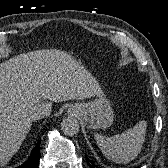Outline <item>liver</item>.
Returning a JSON list of instances; mask_svg holds the SVG:
<instances>
[{
	"label": "liver",
	"mask_w": 168,
	"mask_h": 168,
	"mask_svg": "<svg viewBox=\"0 0 168 168\" xmlns=\"http://www.w3.org/2000/svg\"><path fill=\"white\" fill-rule=\"evenodd\" d=\"M101 95L96 79L67 52L20 54L0 64V165L19 150L32 120L29 111L53 102Z\"/></svg>",
	"instance_id": "1"
}]
</instances>
